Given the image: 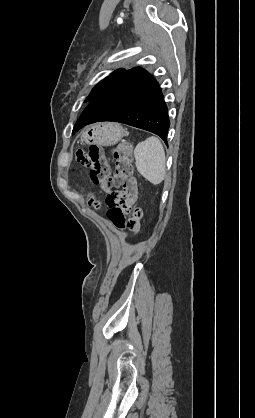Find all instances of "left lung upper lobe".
Returning a JSON list of instances; mask_svg holds the SVG:
<instances>
[{
    "instance_id": "5c2ea615",
    "label": "left lung upper lobe",
    "mask_w": 255,
    "mask_h": 418,
    "mask_svg": "<svg viewBox=\"0 0 255 418\" xmlns=\"http://www.w3.org/2000/svg\"><path fill=\"white\" fill-rule=\"evenodd\" d=\"M126 70L123 68H120L118 70H115L112 72L109 76H107L105 79L100 81L91 91L89 96L86 98L85 102H90L93 98H95L98 94H100L112 81L117 79L120 75H122ZM78 129L73 128V133H75Z\"/></svg>"
}]
</instances>
